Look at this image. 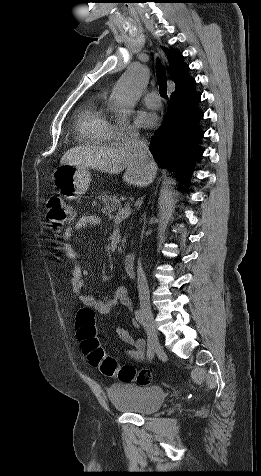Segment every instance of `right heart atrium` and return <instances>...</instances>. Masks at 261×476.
Listing matches in <instances>:
<instances>
[{
	"mask_svg": "<svg viewBox=\"0 0 261 476\" xmlns=\"http://www.w3.org/2000/svg\"><path fill=\"white\" fill-rule=\"evenodd\" d=\"M137 135V129L130 123H119L114 125L113 139L116 141H122L126 138L136 137Z\"/></svg>",
	"mask_w": 261,
	"mask_h": 476,
	"instance_id": "d8ad5b80",
	"label": "right heart atrium"
}]
</instances>
